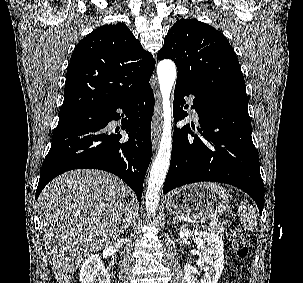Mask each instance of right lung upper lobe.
I'll return each instance as SVG.
<instances>
[{
  "instance_id": "right-lung-upper-lobe-1",
  "label": "right lung upper lobe",
  "mask_w": 303,
  "mask_h": 283,
  "mask_svg": "<svg viewBox=\"0 0 303 283\" xmlns=\"http://www.w3.org/2000/svg\"><path fill=\"white\" fill-rule=\"evenodd\" d=\"M154 67L152 55L124 23L95 29L72 53L59 118L84 114L134 94L149 83Z\"/></svg>"
}]
</instances>
